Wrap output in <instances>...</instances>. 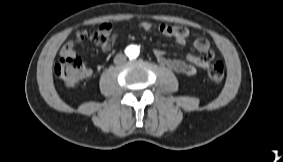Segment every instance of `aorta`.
<instances>
[{"label":"aorta","mask_w":283,"mask_h":162,"mask_svg":"<svg viewBox=\"0 0 283 162\" xmlns=\"http://www.w3.org/2000/svg\"><path fill=\"white\" fill-rule=\"evenodd\" d=\"M126 53L129 58H136L139 55V48L137 46L131 45L127 47Z\"/></svg>","instance_id":"aorta-1"}]
</instances>
